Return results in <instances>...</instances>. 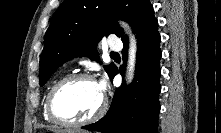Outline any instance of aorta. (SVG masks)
Segmentation results:
<instances>
[{"instance_id":"aorta-1","label":"aorta","mask_w":221,"mask_h":133,"mask_svg":"<svg viewBox=\"0 0 221 133\" xmlns=\"http://www.w3.org/2000/svg\"><path fill=\"white\" fill-rule=\"evenodd\" d=\"M122 27H124L129 35H130V51H129V60H128V82H131L134 75V67H135V58H136V42L134 36L131 34V30L129 26L125 23H121Z\"/></svg>"}]
</instances>
